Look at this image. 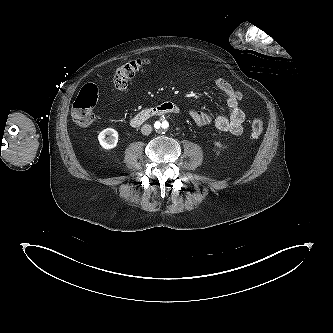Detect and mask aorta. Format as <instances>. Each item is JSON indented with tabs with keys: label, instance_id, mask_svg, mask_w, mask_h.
<instances>
[{
	"label": "aorta",
	"instance_id": "obj_1",
	"mask_svg": "<svg viewBox=\"0 0 333 333\" xmlns=\"http://www.w3.org/2000/svg\"><path fill=\"white\" fill-rule=\"evenodd\" d=\"M154 126H155V130L158 133H164L167 131L169 124L166 120H160V121L155 122Z\"/></svg>",
	"mask_w": 333,
	"mask_h": 333
}]
</instances>
